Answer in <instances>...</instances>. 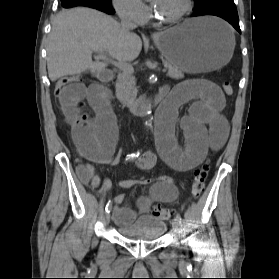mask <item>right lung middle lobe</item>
Here are the masks:
<instances>
[{
	"label": "right lung middle lobe",
	"instance_id": "1",
	"mask_svg": "<svg viewBox=\"0 0 279 279\" xmlns=\"http://www.w3.org/2000/svg\"><path fill=\"white\" fill-rule=\"evenodd\" d=\"M100 2H102L105 5H112L111 0H100Z\"/></svg>",
	"mask_w": 279,
	"mask_h": 279
}]
</instances>
